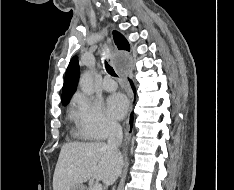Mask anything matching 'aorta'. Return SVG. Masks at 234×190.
I'll return each mask as SVG.
<instances>
[{
	"instance_id": "1",
	"label": "aorta",
	"mask_w": 234,
	"mask_h": 190,
	"mask_svg": "<svg viewBox=\"0 0 234 190\" xmlns=\"http://www.w3.org/2000/svg\"><path fill=\"white\" fill-rule=\"evenodd\" d=\"M79 85L82 92L86 95L93 94L92 75L89 71H86L81 75Z\"/></svg>"
}]
</instances>
